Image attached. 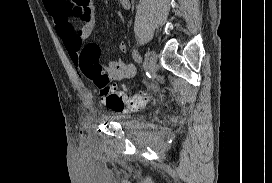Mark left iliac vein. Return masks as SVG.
Masks as SVG:
<instances>
[{
	"mask_svg": "<svg viewBox=\"0 0 272 183\" xmlns=\"http://www.w3.org/2000/svg\"><path fill=\"white\" fill-rule=\"evenodd\" d=\"M156 63L157 54L154 51H148L145 54L144 66L153 75L156 73Z\"/></svg>",
	"mask_w": 272,
	"mask_h": 183,
	"instance_id": "4c4485c4",
	"label": "left iliac vein"
}]
</instances>
